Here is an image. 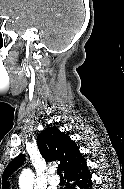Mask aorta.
<instances>
[{
    "instance_id": "762f6f07",
    "label": "aorta",
    "mask_w": 124,
    "mask_h": 189,
    "mask_svg": "<svg viewBox=\"0 0 124 189\" xmlns=\"http://www.w3.org/2000/svg\"><path fill=\"white\" fill-rule=\"evenodd\" d=\"M34 175L30 169H25L22 171L19 177V187L20 189H33Z\"/></svg>"
}]
</instances>
